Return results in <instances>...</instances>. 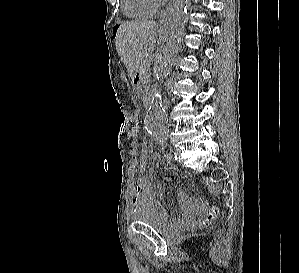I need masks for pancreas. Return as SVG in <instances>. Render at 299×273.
Wrapping results in <instances>:
<instances>
[{
	"mask_svg": "<svg viewBox=\"0 0 299 273\" xmlns=\"http://www.w3.org/2000/svg\"><path fill=\"white\" fill-rule=\"evenodd\" d=\"M140 73L143 82H148L150 79V63L147 59H144L140 65Z\"/></svg>",
	"mask_w": 299,
	"mask_h": 273,
	"instance_id": "1",
	"label": "pancreas"
}]
</instances>
